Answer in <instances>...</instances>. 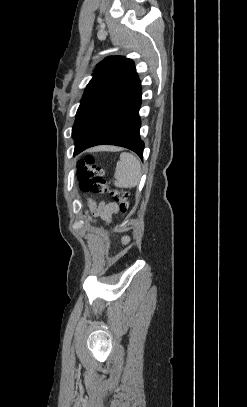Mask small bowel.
<instances>
[{
    "label": "small bowel",
    "instance_id": "1",
    "mask_svg": "<svg viewBox=\"0 0 247 407\" xmlns=\"http://www.w3.org/2000/svg\"><path fill=\"white\" fill-rule=\"evenodd\" d=\"M117 212V207L114 204H106L102 205L97 211L96 215L100 216L101 219L105 222H110L112 220V216ZM128 238H123V243H127Z\"/></svg>",
    "mask_w": 247,
    "mask_h": 407
}]
</instances>
